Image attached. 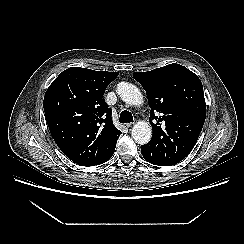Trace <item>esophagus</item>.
<instances>
[{
	"label": "esophagus",
	"mask_w": 244,
	"mask_h": 244,
	"mask_svg": "<svg viewBox=\"0 0 244 244\" xmlns=\"http://www.w3.org/2000/svg\"><path fill=\"white\" fill-rule=\"evenodd\" d=\"M126 126H127L128 128H131V127L134 126V123H127Z\"/></svg>",
	"instance_id": "34e87169"
}]
</instances>
